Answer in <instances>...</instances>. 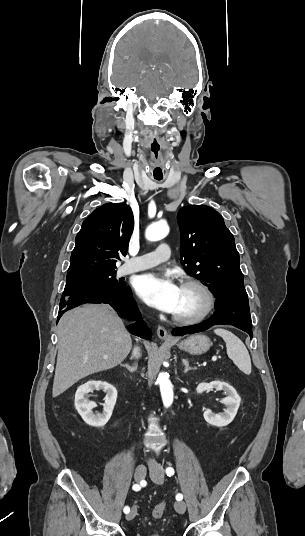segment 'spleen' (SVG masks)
<instances>
[{"label": "spleen", "instance_id": "spleen-1", "mask_svg": "<svg viewBox=\"0 0 305 536\" xmlns=\"http://www.w3.org/2000/svg\"><path fill=\"white\" fill-rule=\"evenodd\" d=\"M214 332L217 336H221L224 342H226L227 356H229L230 360H233L235 366H237L241 372H244V374H248L249 376V374H251V360L249 352L243 342H241L237 336H234L232 332H228V330H221V328H218V330H214Z\"/></svg>", "mask_w": 305, "mask_h": 536}]
</instances>
